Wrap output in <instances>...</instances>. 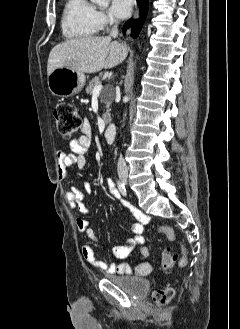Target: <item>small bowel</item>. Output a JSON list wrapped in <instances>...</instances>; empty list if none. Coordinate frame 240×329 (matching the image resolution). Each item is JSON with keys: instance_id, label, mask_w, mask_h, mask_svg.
Masks as SVG:
<instances>
[{"instance_id": "c3829d8e", "label": "small bowel", "mask_w": 240, "mask_h": 329, "mask_svg": "<svg viewBox=\"0 0 240 329\" xmlns=\"http://www.w3.org/2000/svg\"><path fill=\"white\" fill-rule=\"evenodd\" d=\"M91 140L92 127L89 120L84 119L81 134L69 143L71 152L65 153L63 150H58L56 152L57 174L60 181H65L67 179L68 168L72 165H76L81 171L86 169L87 153L91 146ZM105 183L111 196L120 200V202L127 207L136 218V222L130 226V230L133 234L132 237L126 239L123 244L114 247L112 249V253L114 257L124 259L128 257L136 247L139 246V262L137 265L131 266L127 263H108L96 258L93 244H99V240L97 239L94 230L89 226V221L87 219L89 211L84 204L85 192L88 193L92 190V184L90 182H85L83 184V190L77 187H72L65 194L69 206L73 209H77L81 214V216L76 219V227L86 239L82 246V255L88 263L108 274H134L137 276L148 275L152 270V266L147 261L149 249L143 245V230L144 225L148 222L149 218L141 211L130 205L127 201L121 199V196L115 188L112 180L106 179Z\"/></svg>"}]
</instances>
